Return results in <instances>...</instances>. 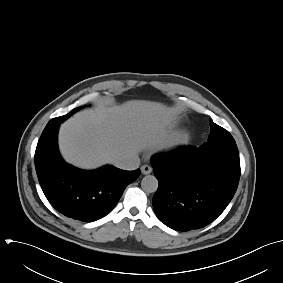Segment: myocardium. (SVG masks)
Masks as SVG:
<instances>
[{
	"label": "myocardium",
	"instance_id": "f54148a6",
	"mask_svg": "<svg viewBox=\"0 0 283 283\" xmlns=\"http://www.w3.org/2000/svg\"><path fill=\"white\" fill-rule=\"evenodd\" d=\"M189 141L190 134L188 132H183L182 134L176 136L175 138L164 144L160 148V151L165 154H174L187 146Z\"/></svg>",
	"mask_w": 283,
	"mask_h": 283
}]
</instances>
